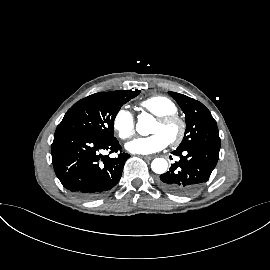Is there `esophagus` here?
<instances>
[{
    "label": "esophagus",
    "instance_id": "1",
    "mask_svg": "<svg viewBox=\"0 0 270 270\" xmlns=\"http://www.w3.org/2000/svg\"><path fill=\"white\" fill-rule=\"evenodd\" d=\"M143 158L146 159V160H151V159L154 158V156H152V155H145V156H143Z\"/></svg>",
    "mask_w": 270,
    "mask_h": 270
}]
</instances>
